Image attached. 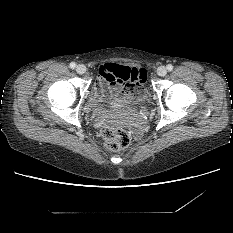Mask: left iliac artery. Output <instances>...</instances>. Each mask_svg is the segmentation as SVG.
Listing matches in <instances>:
<instances>
[{"label":"left iliac artery","instance_id":"obj_1","mask_svg":"<svg viewBox=\"0 0 233 233\" xmlns=\"http://www.w3.org/2000/svg\"><path fill=\"white\" fill-rule=\"evenodd\" d=\"M167 69H168V71H172L173 70V65L172 64H168L167 65Z\"/></svg>","mask_w":233,"mask_h":233}]
</instances>
